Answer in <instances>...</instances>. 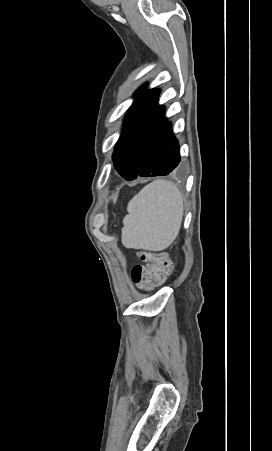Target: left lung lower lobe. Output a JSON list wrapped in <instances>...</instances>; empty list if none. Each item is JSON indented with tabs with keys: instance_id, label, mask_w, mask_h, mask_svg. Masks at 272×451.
Here are the masks:
<instances>
[{
	"instance_id": "0a47b994",
	"label": "left lung lower lobe",
	"mask_w": 272,
	"mask_h": 451,
	"mask_svg": "<svg viewBox=\"0 0 272 451\" xmlns=\"http://www.w3.org/2000/svg\"><path fill=\"white\" fill-rule=\"evenodd\" d=\"M179 143L171 130V123L163 116L152 140L142 166L133 178L165 176L171 173L180 163Z\"/></svg>"
}]
</instances>
